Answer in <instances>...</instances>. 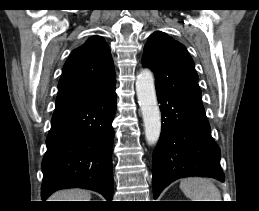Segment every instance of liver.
Returning <instances> with one entry per match:
<instances>
[{"instance_id":"obj_1","label":"liver","mask_w":259,"mask_h":211,"mask_svg":"<svg viewBox=\"0 0 259 211\" xmlns=\"http://www.w3.org/2000/svg\"><path fill=\"white\" fill-rule=\"evenodd\" d=\"M50 199V201H90L91 195L82 189H68L56 192Z\"/></svg>"}]
</instances>
